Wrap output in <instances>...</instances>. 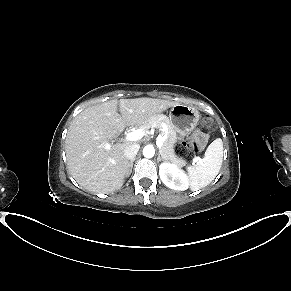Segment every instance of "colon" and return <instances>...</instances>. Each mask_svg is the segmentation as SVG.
<instances>
[{"mask_svg":"<svg viewBox=\"0 0 291 291\" xmlns=\"http://www.w3.org/2000/svg\"><path fill=\"white\" fill-rule=\"evenodd\" d=\"M201 128L204 132H207L212 130L214 128V125L211 121L207 119L203 121ZM196 151L197 145L192 140L183 141L175 147V154L181 159L192 158L195 155Z\"/></svg>","mask_w":291,"mask_h":291,"instance_id":"colon-1","label":"colon"}]
</instances>
